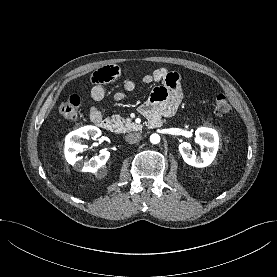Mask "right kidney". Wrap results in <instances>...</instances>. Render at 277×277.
Masks as SVG:
<instances>
[{"mask_svg":"<svg viewBox=\"0 0 277 277\" xmlns=\"http://www.w3.org/2000/svg\"><path fill=\"white\" fill-rule=\"evenodd\" d=\"M100 135L101 130L95 126H85L70 132L65 138L64 153L67 162L83 172H94L105 164L110 157L109 151H101L90 161H83L82 157L78 156V153L86 148V145L81 144V138L96 139Z\"/></svg>","mask_w":277,"mask_h":277,"instance_id":"obj_1","label":"right kidney"}]
</instances>
